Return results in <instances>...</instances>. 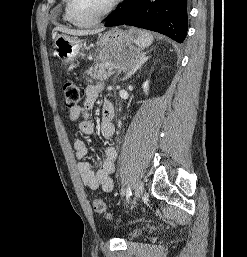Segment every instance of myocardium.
<instances>
[{"label":"myocardium","instance_id":"myocardium-1","mask_svg":"<svg viewBox=\"0 0 247 257\" xmlns=\"http://www.w3.org/2000/svg\"><path fill=\"white\" fill-rule=\"evenodd\" d=\"M120 1L121 0H112L109 6L101 14L87 21H83L76 16L74 11V0H67V9H68V13L71 18V21L75 25L80 27H89L97 24L98 22L102 21L105 17H107L109 14H111L116 9Z\"/></svg>","mask_w":247,"mask_h":257}]
</instances>
